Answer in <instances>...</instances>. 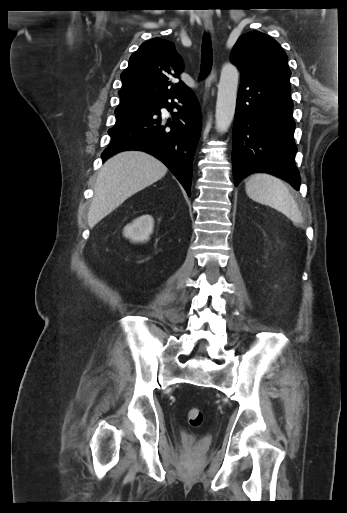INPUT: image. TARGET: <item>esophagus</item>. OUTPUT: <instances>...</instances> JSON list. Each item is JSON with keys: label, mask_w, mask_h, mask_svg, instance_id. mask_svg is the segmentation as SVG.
<instances>
[{"label": "esophagus", "mask_w": 347, "mask_h": 513, "mask_svg": "<svg viewBox=\"0 0 347 513\" xmlns=\"http://www.w3.org/2000/svg\"><path fill=\"white\" fill-rule=\"evenodd\" d=\"M204 27H205V30L210 33L211 35H213L214 33V27H213V23L211 20H205L204 21ZM217 80V71L215 68H213L211 70V72L209 73V75L206 77L205 79V88H206V93H205V101H207V98H208V95H207V91L209 89V87L211 86V84L213 82H215Z\"/></svg>", "instance_id": "esophagus-1"}]
</instances>
